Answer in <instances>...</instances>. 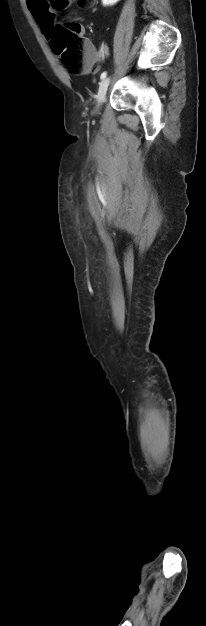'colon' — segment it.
<instances>
[{
	"instance_id": "1",
	"label": "colon",
	"mask_w": 206,
	"mask_h": 626,
	"mask_svg": "<svg viewBox=\"0 0 206 626\" xmlns=\"http://www.w3.org/2000/svg\"><path fill=\"white\" fill-rule=\"evenodd\" d=\"M75 1L81 7H90L94 0H48L47 6L56 10H64ZM80 26L75 22H67L55 27L53 31V50L60 55L67 69L77 73L84 66V45L81 40Z\"/></svg>"
}]
</instances>
